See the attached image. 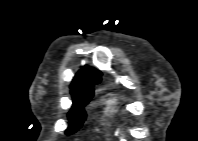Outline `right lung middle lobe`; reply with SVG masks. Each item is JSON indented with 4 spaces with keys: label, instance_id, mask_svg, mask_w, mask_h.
I'll return each mask as SVG.
<instances>
[{
    "label": "right lung middle lobe",
    "instance_id": "obj_1",
    "mask_svg": "<svg viewBox=\"0 0 198 141\" xmlns=\"http://www.w3.org/2000/svg\"><path fill=\"white\" fill-rule=\"evenodd\" d=\"M92 87L93 85L71 88L74 105L72 110L68 114L70 126L66 130L67 135L76 132L83 124L86 118V114L83 108L89 102L90 98L93 95Z\"/></svg>",
    "mask_w": 198,
    "mask_h": 141
}]
</instances>
